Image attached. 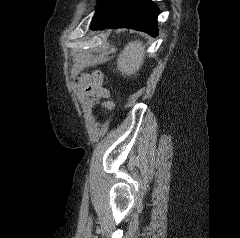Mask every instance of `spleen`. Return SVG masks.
Returning a JSON list of instances; mask_svg holds the SVG:
<instances>
[{
  "label": "spleen",
  "instance_id": "1",
  "mask_svg": "<svg viewBox=\"0 0 240 238\" xmlns=\"http://www.w3.org/2000/svg\"><path fill=\"white\" fill-rule=\"evenodd\" d=\"M143 50L141 41L129 42L117 59V70L127 76L139 71L144 60Z\"/></svg>",
  "mask_w": 240,
  "mask_h": 238
}]
</instances>
